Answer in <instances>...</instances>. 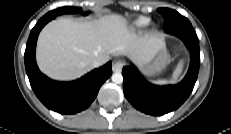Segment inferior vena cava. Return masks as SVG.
<instances>
[{
    "label": "inferior vena cava",
    "instance_id": "1",
    "mask_svg": "<svg viewBox=\"0 0 231 134\" xmlns=\"http://www.w3.org/2000/svg\"><path fill=\"white\" fill-rule=\"evenodd\" d=\"M102 64H104V61H102V60H95V61L92 63V67H93V68L99 67V66H101Z\"/></svg>",
    "mask_w": 231,
    "mask_h": 134
}]
</instances>
